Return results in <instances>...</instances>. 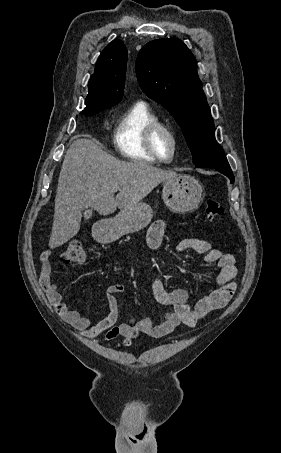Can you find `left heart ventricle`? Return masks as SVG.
<instances>
[{"label": "left heart ventricle", "mask_w": 281, "mask_h": 453, "mask_svg": "<svg viewBox=\"0 0 281 453\" xmlns=\"http://www.w3.org/2000/svg\"><path fill=\"white\" fill-rule=\"evenodd\" d=\"M158 150L164 158H169L171 154V143L166 136H162L158 142Z\"/></svg>", "instance_id": "1"}]
</instances>
